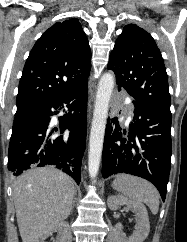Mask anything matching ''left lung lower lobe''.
<instances>
[{
  "mask_svg": "<svg viewBox=\"0 0 187 242\" xmlns=\"http://www.w3.org/2000/svg\"><path fill=\"white\" fill-rule=\"evenodd\" d=\"M128 130L108 119L102 156V176L127 173L152 182L165 201L171 167V114L137 101Z\"/></svg>",
  "mask_w": 187,
  "mask_h": 242,
  "instance_id": "obj_1",
  "label": "left lung lower lobe"
}]
</instances>
